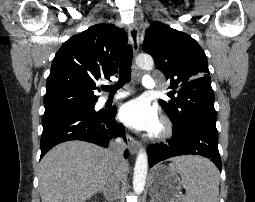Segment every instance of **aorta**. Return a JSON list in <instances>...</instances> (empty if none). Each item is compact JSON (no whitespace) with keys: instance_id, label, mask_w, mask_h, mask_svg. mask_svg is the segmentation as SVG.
<instances>
[{"instance_id":"1","label":"aorta","mask_w":255,"mask_h":202,"mask_svg":"<svg viewBox=\"0 0 255 202\" xmlns=\"http://www.w3.org/2000/svg\"><path fill=\"white\" fill-rule=\"evenodd\" d=\"M136 65L146 71H151L154 66L153 58L150 55H138L135 59ZM148 171V155L145 148H141L137 154L134 174H133V189L136 194H141L144 191L146 177Z\"/></svg>"}]
</instances>
